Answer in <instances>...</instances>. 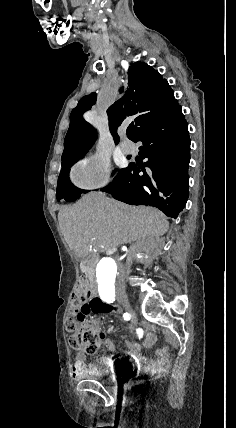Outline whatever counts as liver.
Masks as SVG:
<instances>
[{"label": "liver", "mask_w": 236, "mask_h": 428, "mask_svg": "<svg viewBox=\"0 0 236 428\" xmlns=\"http://www.w3.org/2000/svg\"><path fill=\"white\" fill-rule=\"evenodd\" d=\"M61 232L76 258L92 252L110 254L121 244L155 238L168 232L164 214L156 208L126 206L103 194H85L58 214Z\"/></svg>", "instance_id": "1"}]
</instances>
